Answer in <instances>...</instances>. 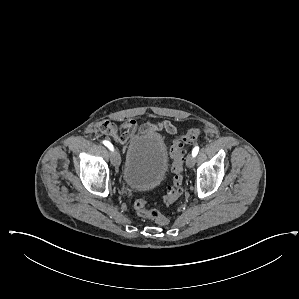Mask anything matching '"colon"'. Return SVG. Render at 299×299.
<instances>
[{
    "label": "colon",
    "mask_w": 299,
    "mask_h": 299,
    "mask_svg": "<svg viewBox=\"0 0 299 299\" xmlns=\"http://www.w3.org/2000/svg\"><path fill=\"white\" fill-rule=\"evenodd\" d=\"M100 130L109 129V124L103 122L99 126ZM201 135L199 128H192L186 134L180 135L173 140L170 155L172 158L173 184L163 196L160 205L169 206L174 203L183 193V164L185 157V146L193 144ZM136 212L145 218L153 220L159 225H167L169 219L157 209H149L145 199H137L134 202Z\"/></svg>",
    "instance_id": "colon-1"
}]
</instances>
